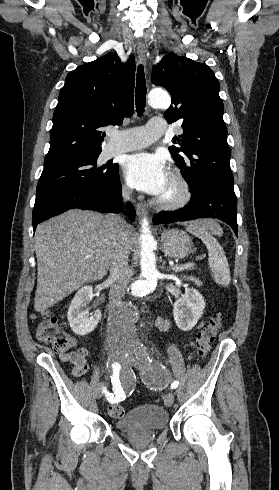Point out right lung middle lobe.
I'll use <instances>...</instances> for the list:
<instances>
[{"mask_svg":"<svg viewBox=\"0 0 279 490\" xmlns=\"http://www.w3.org/2000/svg\"><path fill=\"white\" fill-rule=\"evenodd\" d=\"M99 153L45 162L36 192L49 187L109 183L118 175V164H98Z\"/></svg>","mask_w":279,"mask_h":490,"instance_id":"right-lung-middle-lobe-1","label":"right lung middle lobe"}]
</instances>
